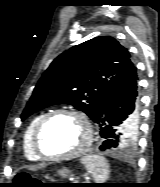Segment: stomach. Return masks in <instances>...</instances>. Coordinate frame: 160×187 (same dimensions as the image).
<instances>
[{
	"label": "stomach",
	"instance_id": "1",
	"mask_svg": "<svg viewBox=\"0 0 160 187\" xmlns=\"http://www.w3.org/2000/svg\"><path fill=\"white\" fill-rule=\"evenodd\" d=\"M68 173H69V171L67 169H62V170L59 171V174L61 176H66Z\"/></svg>",
	"mask_w": 160,
	"mask_h": 187
}]
</instances>
